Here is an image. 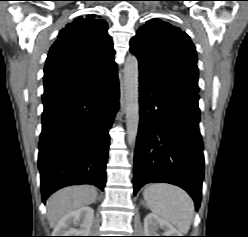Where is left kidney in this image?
<instances>
[{"mask_svg": "<svg viewBox=\"0 0 248 237\" xmlns=\"http://www.w3.org/2000/svg\"><path fill=\"white\" fill-rule=\"evenodd\" d=\"M163 230V234H158V230ZM145 236H181L169 222L163 220L154 213L148 214L144 219Z\"/></svg>", "mask_w": 248, "mask_h": 237, "instance_id": "left-kidney-1", "label": "left kidney"}]
</instances>
